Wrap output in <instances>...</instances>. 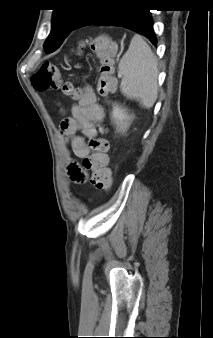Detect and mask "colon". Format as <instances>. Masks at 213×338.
Listing matches in <instances>:
<instances>
[{"mask_svg":"<svg viewBox=\"0 0 213 338\" xmlns=\"http://www.w3.org/2000/svg\"><path fill=\"white\" fill-rule=\"evenodd\" d=\"M83 45L92 48L100 62L96 82L98 92L101 95L113 92L116 88L113 63L118 57V45L106 36L88 38ZM31 82L34 89L39 92L61 90L65 95H75L72 84L65 82L59 68L50 62H45L41 66L40 70L33 75ZM61 126L73 131L76 129V122L67 118L62 121ZM90 148L91 154L83 159L81 166L71 167L69 174L74 178L82 170L91 171L92 184L96 189H110L113 184V174L108 167L109 143L103 137H96L90 141Z\"/></svg>","mask_w":213,"mask_h":338,"instance_id":"5ec220e1","label":"colon"}]
</instances>
